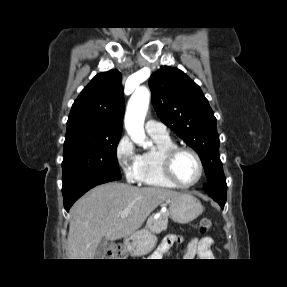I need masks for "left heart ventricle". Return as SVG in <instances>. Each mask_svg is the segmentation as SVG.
Masks as SVG:
<instances>
[{"mask_svg":"<svg viewBox=\"0 0 287 287\" xmlns=\"http://www.w3.org/2000/svg\"><path fill=\"white\" fill-rule=\"evenodd\" d=\"M174 172L181 183L189 184L198 177L199 166L192 154L181 152L174 160Z\"/></svg>","mask_w":287,"mask_h":287,"instance_id":"b2bd125f","label":"left heart ventricle"}]
</instances>
